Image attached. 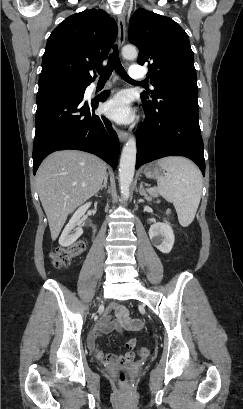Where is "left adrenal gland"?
Here are the masks:
<instances>
[{
	"label": "left adrenal gland",
	"mask_w": 243,
	"mask_h": 409,
	"mask_svg": "<svg viewBox=\"0 0 243 409\" xmlns=\"http://www.w3.org/2000/svg\"><path fill=\"white\" fill-rule=\"evenodd\" d=\"M139 194L143 196L146 200H150V197L148 196L147 192L144 190L143 182H141L139 186Z\"/></svg>",
	"instance_id": "left-adrenal-gland-1"
}]
</instances>
